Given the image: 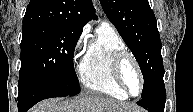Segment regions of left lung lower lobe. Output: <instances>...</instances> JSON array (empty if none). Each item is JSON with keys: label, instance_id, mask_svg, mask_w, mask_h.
I'll return each mask as SVG.
<instances>
[{"label": "left lung lower lobe", "instance_id": "0a47b994", "mask_svg": "<svg viewBox=\"0 0 193 112\" xmlns=\"http://www.w3.org/2000/svg\"><path fill=\"white\" fill-rule=\"evenodd\" d=\"M166 101V90L163 77L160 78L153 90L145 98H142L137 104L149 112H163Z\"/></svg>", "mask_w": 193, "mask_h": 112}]
</instances>
